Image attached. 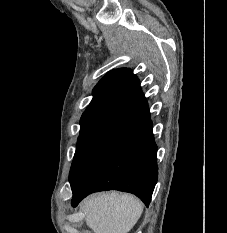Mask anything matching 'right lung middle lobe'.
Returning <instances> with one entry per match:
<instances>
[{
  "instance_id": "1",
  "label": "right lung middle lobe",
  "mask_w": 227,
  "mask_h": 233,
  "mask_svg": "<svg viewBox=\"0 0 227 233\" xmlns=\"http://www.w3.org/2000/svg\"><path fill=\"white\" fill-rule=\"evenodd\" d=\"M119 136L103 133H80L70 169L69 181L74 188L101 153Z\"/></svg>"
}]
</instances>
